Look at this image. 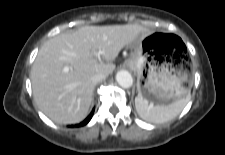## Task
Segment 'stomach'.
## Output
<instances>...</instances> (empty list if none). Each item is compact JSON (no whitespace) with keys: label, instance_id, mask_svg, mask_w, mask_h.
Listing matches in <instances>:
<instances>
[{"label":"stomach","instance_id":"obj_1","mask_svg":"<svg viewBox=\"0 0 225 155\" xmlns=\"http://www.w3.org/2000/svg\"><path fill=\"white\" fill-rule=\"evenodd\" d=\"M167 35L150 32L132 44L127 65L137 74L138 95L151 104H166L185 98L192 82L183 62L168 58L162 50Z\"/></svg>","mask_w":225,"mask_h":155}]
</instances>
